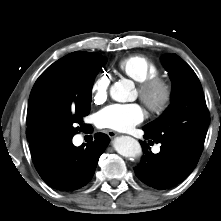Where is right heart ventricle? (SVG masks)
Instances as JSON below:
<instances>
[{
  "label": "right heart ventricle",
  "mask_w": 221,
  "mask_h": 221,
  "mask_svg": "<svg viewBox=\"0 0 221 221\" xmlns=\"http://www.w3.org/2000/svg\"><path fill=\"white\" fill-rule=\"evenodd\" d=\"M118 68L123 74L138 83L157 76L160 72L158 64L144 55L129 56L119 62Z\"/></svg>",
  "instance_id": "obj_1"
}]
</instances>
